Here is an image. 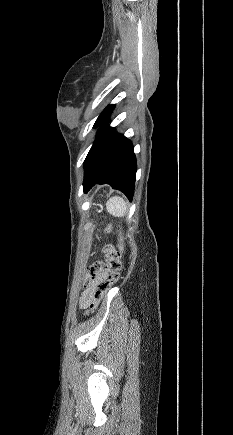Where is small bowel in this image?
I'll return each mask as SVG.
<instances>
[{
    "label": "small bowel",
    "mask_w": 233,
    "mask_h": 435,
    "mask_svg": "<svg viewBox=\"0 0 233 435\" xmlns=\"http://www.w3.org/2000/svg\"><path fill=\"white\" fill-rule=\"evenodd\" d=\"M110 275V273L105 272L101 275L102 278L106 279L108 278ZM94 290H95V285H92L91 287L86 288L81 297H80V303L82 305V307H89V305L91 304L93 297H94Z\"/></svg>",
    "instance_id": "1"
}]
</instances>
